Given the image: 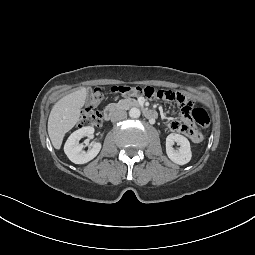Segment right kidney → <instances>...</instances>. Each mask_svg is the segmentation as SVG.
Here are the masks:
<instances>
[{
	"mask_svg": "<svg viewBox=\"0 0 255 255\" xmlns=\"http://www.w3.org/2000/svg\"><path fill=\"white\" fill-rule=\"evenodd\" d=\"M93 134L94 128L87 126L76 130L69 136L64 146V152L69 160L75 164H85L97 156L102 146L101 143H94L88 151H84V145L79 143L81 138L93 137Z\"/></svg>",
	"mask_w": 255,
	"mask_h": 255,
	"instance_id": "1",
	"label": "right kidney"
}]
</instances>
